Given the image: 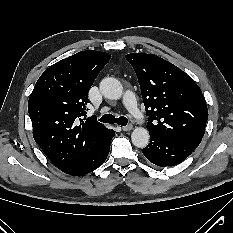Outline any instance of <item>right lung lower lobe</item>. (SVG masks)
Instances as JSON below:
<instances>
[{"instance_id":"obj_1","label":"right lung lower lobe","mask_w":233,"mask_h":233,"mask_svg":"<svg viewBox=\"0 0 233 233\" xmlns=\"http://www.w3.org/2000/svg\"><path fill=\"white\" fill-rule=\"evenodd\" d=\"M115 132L112 130L111 135L108 139L101 145V147L95 151L92 155L85 158L84 160L71 165L61 171L66 174L73 175V176H81L88 174L98 167H100L104 161L106 160L109 151H110V143L112 138L114 137Z\"/></svg>"}]
</instances>
